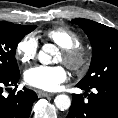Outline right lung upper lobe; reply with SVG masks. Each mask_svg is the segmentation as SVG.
I'll use <instances>...</instances> for the list:
<instances>
[{"mask_svg":"<svg viewBox=\"0 0 118 118\" xmlns=\"http://www.w3.org/2000/svg\"><path fill=\"white\" fill-rule=\"evenodd\" d=\"M25 27H27V28H31V27H33V26H25Z\"/></svg>","mask_w":118,"mask_h":118,"instance_id":"obj_1","label":"right lung upper lobe"}]
</instances>
